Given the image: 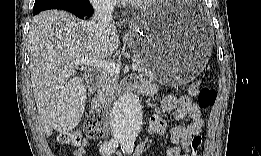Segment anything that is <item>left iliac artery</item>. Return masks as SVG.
Instances as JSON below:
<instances>
[{
    "label": "left iliac artery",
    "mask_w": 261,
    "mask_h": 156,
    "mask_svg": "<svg viewBox=\"0 0 261 156\" xmlns=\"http://www.w3.org/2000/svg\"><path fill=\"white\" fill-rule=\"evenodd\" d=\"M123 153L130 154L133 152L134 142L131 139H123L120 141Z\"/></svg>",
    "instance_id": "left-iliac-artery-1"
}]
</instances>
